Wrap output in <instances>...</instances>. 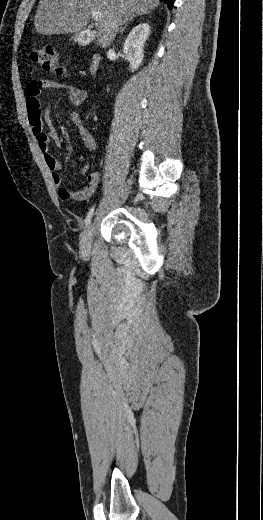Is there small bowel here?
I'll list each match as a JSON object with an SVG mask.
<instances>
[{"instance_id":"obj_1","label":"small bowel","mask_w":263,"mask_h":520,"mask_svg":"<svg viewBox=\"0 0 263 520\" xmlns=\"http://www.w3.org/2000/svg\"><path fill=\"white\" fill-rule=\"evenodd\" d=\"M47 89L64 90L70 102L75 106L82 105L86 101L88 94L85 90L72 84L50 79H34L27 84L25 90L29 124L38 148L43 155L44 162L51 172L52 181L58 189L60 198L62 200H89L99 185L101 173L95 171L89 174L88 185L81 190L71 191L64 186L63 178L59 172L61 170V163L49 152L50 140H52L57 147H60L61 139L52 126L50 111L48 109H42L41 107V94L43 90ZM71 121L76 126L87 149L94 150L96 147L95 140L80 116L77 113H72ZM45 126L48 128L47 132L44 130ZM86 170L87 166H84L81 172L85 173Z\"/></svg>"}]
</instances>
